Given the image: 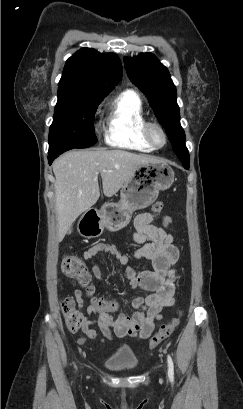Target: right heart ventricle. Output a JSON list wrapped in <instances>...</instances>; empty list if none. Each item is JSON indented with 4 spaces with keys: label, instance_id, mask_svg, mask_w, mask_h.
Here are the masks:
<instances>
[{
    "label": "right heart ventricle",
    "instance_id": "e07e8e85",
    "mask_svg": "<svg viewBox=\"0 0 243 409\" xmlns=\"http://www.w3.org/2000/svg\"><path fill=\"white\" fill-rule=\"evenodd\" d=\"M146 123L139 95L133 90H126L109 104L106 143L143 153L153 152L155 148L144 132Z\"/></svg>",
    "mask_w": 243,
    "mask_h": 409
}]
</instances>
